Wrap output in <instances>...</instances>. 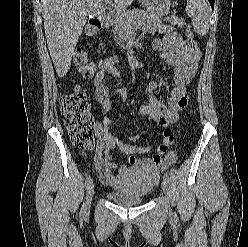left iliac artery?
<instances>
[{
  "instance_id": "1",
  "label": "left iliac artery",
  "mask_w": 248,
  "mask_h": 247,
  "mask_svg": "<svg viewBox=\"0 0 248 247\" xmlns=\"http://www.w3.org/2000/svg\"><path fill=\"white\" fill-rule=\"evenodd\" d=\"M164 177L167 178L168 180H170V178H169L167 173L164 175Z\"/></svg>"
}]
</instances>
